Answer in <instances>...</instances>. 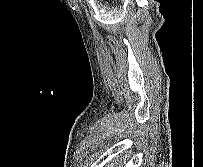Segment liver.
<instances>
[{"mask_svg":"<svg viewBox=\"0 0 203 167\" xmlns=\"http://www.w3.org/2000/svg\"><path fill=\"white\" fill-rule=\"evenodd\" d=\"M107 167H115L114 160ZM123 167V166H122Z\"/></svg>","mask_w":203,"mask_h":167,"instance_id":"1","label":"liver"}]
</instances>
